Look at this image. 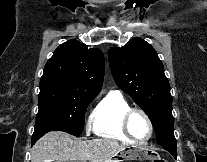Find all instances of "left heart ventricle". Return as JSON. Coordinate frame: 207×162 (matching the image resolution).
<instances>
[{
    "label": "left heart ventricle",
    "instance_id": "left-heart-ventricle-1",
    "mask_svg": "<svg viewBox=\"0 0 207 162\" xmlns=\"http://www.w3.org/2000/svg\"><path fill=\"white\" fill-rule=\"evenodd\" d=\"M129 128L132 135L139 140L145 139L149 134L147 121L141 114H135L132 116Z\"/></svg>",
    "mask_w": 207,
    "mask_h": 162
}]
</instances>
